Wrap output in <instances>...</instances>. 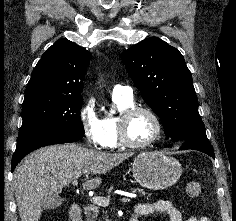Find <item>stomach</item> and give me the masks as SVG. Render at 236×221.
Wrapping results in <instances>:
<instances>
[{
    "mask_svg": "<svg viewBox=\"0 0 236 221\" xmlns=\"http://www.w3.org/2000/svg\"><path fill=\"white\" fill-rule=\"evenodd\" d=\"M133 176L142 186L162 190L173 186L180 178L179 161L160 152H143L133 161Z\"/></svg>",
    "mask_w": 236,
    "mask_h": 221,
    "instance_id": "1",
    "label": "stomach"
}]
</instances>
